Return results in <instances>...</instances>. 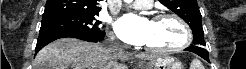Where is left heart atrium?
Here are the masks:
<instances>
[{"label":"left heart atrium","mask_w":246,"mask_h":69,"mask_svg":"<svg viewBox=\"0 0 246 69\" xmlns=\"http://www.w3.org/2000/svg\"><path fill=\"white\" fill-rule=\"evenodd\" d=\"M150 21L134 14H127L116 22L118 37L131 45L145 44Z\"/></svg>","instance_id":"39dd6f15"}]
</instances>
